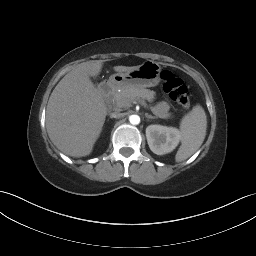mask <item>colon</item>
Masks as SVG:
<instances>
[{
  "instance_id": "5ec220e1",
  "label": "colon",
  "mask_w": 256,
  "mask_h": 256,
  "mask_svg": "<svg viewBox=\"0 0 256 256\" xmlns=\"http://www.w3.org/2000/svg\"><path fill=\"white\" fill-rule=\"evenodd\" d=\"M160 77L164 92L180 106L188 108L190 106V95L182 79L170 70H163Z\"/></svg>"
}]
</instances>
